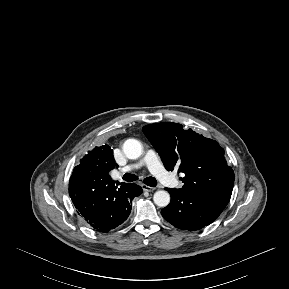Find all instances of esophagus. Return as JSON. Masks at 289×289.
<instances>
[{
	"label": "esophagus",
	"mask_w": 289,
	"mask_h": 289,
	"mask_svg": "<svg viewBox=\"0 0 289 289\" xmlns=\"http://www.w3.org/2000/svg\"><path fill=\"white\" fill-rule=\"evenodd\" d=\"M141 187L144 191H147V192H153L155 190L154 187H150V186H147L145 184H142Z\"/></svg>",
	"instance_id": "obj_1"
}]
</instances>
